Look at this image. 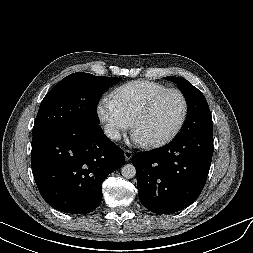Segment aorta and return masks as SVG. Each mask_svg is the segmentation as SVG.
<instances>
[{"instance_id": "aorta-1", "label": "aorta", "mask_w": 253, "mask_h": 253, "mask_svg": "<svg viewBox=\"0 0 253 253\" xmlns=\"http://www.w3.org/2000/svg\"><path fill=\"white\" fill-rule=\"evenodd\" d=\"M122 176L131 179L136 175V168L133 164H126L121 169Z\"/></svg>"}]
</instances>
